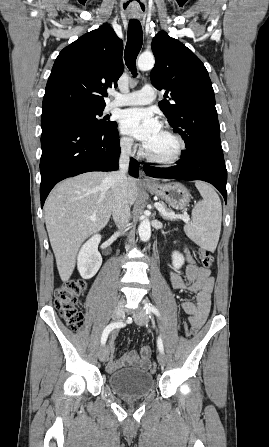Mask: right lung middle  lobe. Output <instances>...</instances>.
Returning <instances> with one entry per match:
<instances>
[{"mask_svg":"<svg viewBox=\"0 0 269 447\" xmlns=\"http://www.w3.org/2000/svg\"><path fill=\"white\" fill-rule=\"evenodd\" d=\"M104 107L105 105H74L58 108L56 111H67L77 116L82 123L98 130H114L117 128V123L105 121L109 117L98 119V116H102Z\"/></svg>","mask_w":269,"mask_h":447,"instance_id":"dd1d6c3e","label":"right lung middle lobe"}]
</instances>
